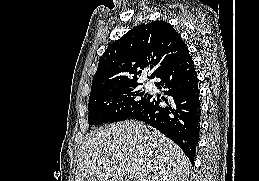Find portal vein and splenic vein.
Instances as JSON below:
<instances>
[{
  "instance_id": "18ae733b",
  "label": "portal vein and splenic vein",
  "mask_w": 259,
  "mask_h": 181,
  "mask_svg": "<svg viewBox=\"0 0 259 181\" xmlns=\"http://www.w3.org/2000/svg\"><path fill=\"white\" fill-rule=\"evenodd\" d=\"M127 172H128V174L130 175V177H131V176H133V174L135 173V170H133V169H127Z\"/></svg>"
}]
</instances>
